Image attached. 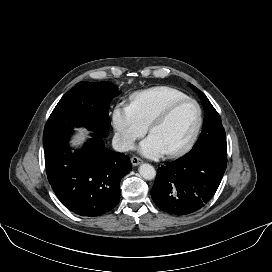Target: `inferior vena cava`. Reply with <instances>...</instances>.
Returning <instances> with one entry per match:
<instances>
[{
	"label": "inferior vena cava",
	"instance_id": "1",
	"mask_svg": "<svg viewBox=\"0 0 272 272\" xmlns=\"http://www.w3.org/2000/svg\"><path fill=\"white\" fill-rule=\"evenodd\" d=\"M112 147L117 152H126L132 150L134 148V144L128 139L115 135L112 140Z\"/></svg>",
	"mask_w": 272,
	"mask_h": 272
}]
</instances>
